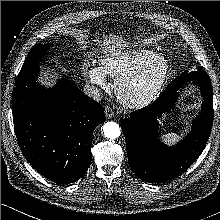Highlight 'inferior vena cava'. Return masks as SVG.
Here are the masks:
<instances>
[{"instance_id": "obj_1", "label": "inferior vena cava", "mask_w": 220, "mask_h": 220, "mask_svg": "<svg viewBox=\"0 0 220 220\" xmlns=\"http://www.w3.org/2000/svg\"><path fill=\"white\" fill-rule=\"evenodd\" d=\"M83 92L90 98H92L95 101H100L102 99V91L96 87V86H92V85H85L83 88Z\"/></svg>"}]
</instances>
